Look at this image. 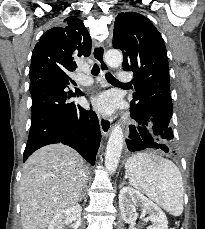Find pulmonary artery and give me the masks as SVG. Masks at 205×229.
Instances as JSON below:
<instances>
[{"mask_svg":"<svg viewBox=\"0 0 205 229\" xmlns=\"http://www.w3.org/2000/svg\"><path fill=\"white\" fill-rule=\"evenodd\" d=\"M118 80L122 84H129L132 81V76L129 72L120 71L118 72ZM79 83L81 85H90L92 83V79L90 77H82L79 79Z\"/></svg>","mask_w":205,"mask_h":229,"instance_id":"e3ab8cb5","label":"pulmonary artery"}]
</instances>
